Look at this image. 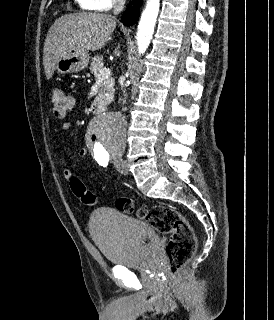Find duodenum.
Segmentation results:
<instances>
[{
    "mask_svg": "<svg viewBox=\"0 0 274 320\" xmlns=\"http://www.w3.org/2000/svg\"><path fill=\"white\" fill-rule=\"evenodd\" d=\"M92 107L99 114L103 113L105 110V107L100 99H95L92 103Z\"/></svg>",
    "mask_w": 274,
    "mask_h": 320,
    "instance_id": "1",
    "label": "duodenum"
}]
</instances>
